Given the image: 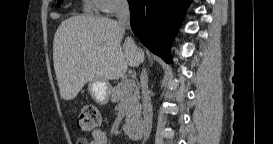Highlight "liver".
Instances as JSON below:
<instances>
[{"instance_id": "6515ba94", "label": "liver", "mask_w": 273, "mask_h": 144, "mask_svg": "<svg viewBox=\"0 0 273 144\" xmlns=\"http://www.w3.org/2000/svg\"><path fill=\"white\" fill-rule=\"evenodd\" d=\"M124 34L116 20L106 17L79 15L62 21L54 35L53 62L64 100L74 99L87 82L116 80L128 66L140 65L133 39L127 37L121 46Z\"/></svg>"}]
</instances>
